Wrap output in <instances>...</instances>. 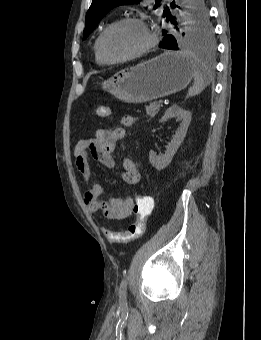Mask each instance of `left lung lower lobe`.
Returning a JSON list of instances; mask_svg holds the SVG:
<instances>
[{"label":"left lung lower lobe","instance_id":"left-lung-lower-lobe-1","mask_svg":"<svg viewBox=\"0 0 261 340\" xmlns=\"http://www.w3.org/2000/svg\"><path fill=\"white\" fill-rule=\"evenodd\" d=\"M183 5L185 4L186 0H182ZM204 3V2H203ZM159 46L161 48H166V49H172V50H179L178 49V43L177 40L174 36L169 35L165 36L163 40L160 42Z\"/></svg>","mask_w":261,"mask_h":340}]
</instances>
